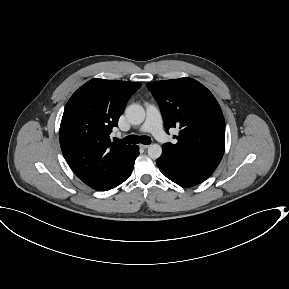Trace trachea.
<instances>
[{"label": "trachea", "mask_w": 289, "mask_h": 289, "mask_svg": "<svg viewBox=\"0 0 289 289\" xmlns=\"http://www.w3.org/2000/svg\"><path fill=\"white\" fill-rule=\"evenodd\" d=\"M115 140L116 142H123L127 144H137V143L150 144L151 143V138L149 136H137V135L127 136L122 140L115 138Z\"/></svg>", "instance_id": "3493384b"}]
</instances>
